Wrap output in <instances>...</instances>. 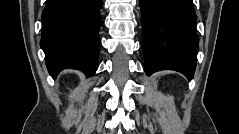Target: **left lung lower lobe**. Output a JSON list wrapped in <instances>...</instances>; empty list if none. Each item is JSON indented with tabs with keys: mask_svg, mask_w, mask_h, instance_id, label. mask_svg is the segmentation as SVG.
Returning <instances> with one entry per match:
<instances>
[{
	"mask_svg": "<svg viewBox=\"0 0 239 134\" xmlns=\"http://www.w3.org/2000/svg\"><path fill=\"white\" fill-rule=\"evenodd\" d=\"M145 72L175 70L193 79L198 36L192 0H140Z\"/></svg>",
	"mask_w": 239,
	"mask_h": 134,
	"instance_id": "left-lung-lower-lobe-1",
	"label": "left lung lower lobe"
}]
</instances>
